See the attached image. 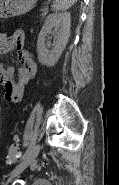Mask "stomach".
<instances>
[{"label":"stomach","mask_w":119,"mask_h":185,"mask_svg":"<svg viewBox=\"0 0 119 185\" xmlns=\"http://www.w3.org/2000/svg\"><path fill=\"white\" fill-rule=\"evenodd\" d=\"M37 0H0V18L22 15L31 10Z\"/></svg>","instance_id":"obj_1"}]
</instances>
